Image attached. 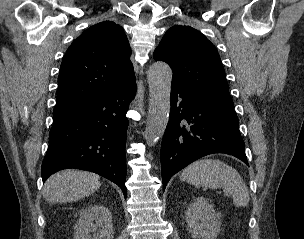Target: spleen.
Returning <instances> with one entry per match:
<instances>
[{
	"label": "spleen",
	"instance_id": "spleen-1",
	"mask_svg": "<svg viewBox=\"0 0 304 239\" xmlns=\"http://www.w3.org/2000/svg\"><path fill=\"white\" fill-rule=\"evenodd\" d=\"M180 179L195 186L222 188L232 196L237 207H245L249 203L248 189L240 174L220 160H197L184 169Z\"/></svg>",
	"mask_w": 304,
	"mask_h": 239
}]
</instances>
